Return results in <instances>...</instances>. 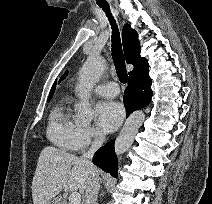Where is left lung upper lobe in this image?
<instances>
[{"mask_svg":"<svg viewBox=\"0 0 212 204\" xmlns=\"http://www.w3.org/2000/svg\"><path fill=\"white\" fill-rule=\"evenodd\" d=\"M67 73H68V72H66V73L64 74V76H63L60 80H62L63 78H65V77L67 76Z\"/></svg>","mask_w":212,"mask_h":204,"instance_id":"obj_1","label":"left lung upper lobe"}]
</instances>
